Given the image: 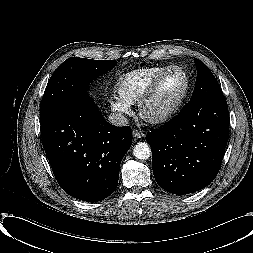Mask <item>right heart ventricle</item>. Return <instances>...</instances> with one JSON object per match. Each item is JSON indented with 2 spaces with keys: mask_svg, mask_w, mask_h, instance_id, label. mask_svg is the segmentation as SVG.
Here are the masks:
<instances>
[{
  "mask_svg": "<svg viewBox=\"0 0 253 253\" xmlns=\"http://www.w3.org/2000/svg\"><path fill=\"white\" fill-rule=\"evenodd\" d=\"M169 67H146L121 75L115 86L118 97L129 104L139 102L154 78Z\"/></svg>",
  "mask_w": 253,
  "mask_h": 253,
  "instance_id": "obj_1",
  "label": "right heart ventricle"
}]
</instances>
